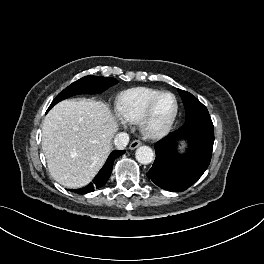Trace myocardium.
<instances>
[{
  "label": "myocardium",
  "instance_id": "myocardium-1",
  "mask_svg": "<svg viewBox=\"0 0 264 264\" xmlns=\"http://www.w3.org/2000/svg\"><path fill=\"white\" fill-rule=\"evenodd\" d=\"M165 95H170L173 97L174 102H175L174 112L171 115V117L163 125L154 127L152 125V119H153L156 105L159 102V100ZM178 111H179V103L174 93L169 92V91H163L159 93L157 96H155L150 101V103L148 104L147 108L145 109L143 115L141 116L139 120V127H140L142 134L145 137L150 138V139H159V138L164 137L172 129L175 123V120L177 118Z\"/></svg>",
  "mask_w": 264,
  "mask_h": 264
}]
</instances>
